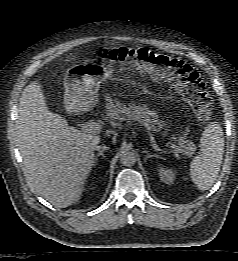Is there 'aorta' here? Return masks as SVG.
<instances>
[{"mask_svg":"<svg viewBox=\"0 0 238 261\" xmlns=\"http://www.w3.org/2000/svg\"><path fill=\"white\" fill-rule=\"evenodd\" d=\"M122 165L131 167L136 163V155L132 151H123L120 156Z\"/></svg>","mask_w":238,"mask_h":261,"instance_id":"obj_1","label":"aorta"}]
</instances>
